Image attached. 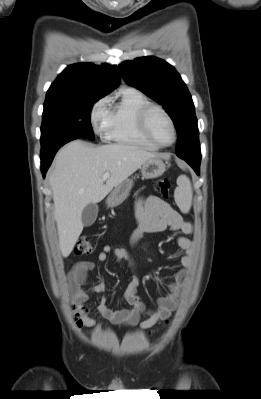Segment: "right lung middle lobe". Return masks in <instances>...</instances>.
<instances>
[{
  "label": "right lung middle lobe",
  "mask_w": 261,
  "mask_h": 399,
  "mask_svg": "<svg viewBox=\"0 0 261 399\" xmlns=\"http://www.w3.org/2000/svg\"><path fill=\"white\" fill-rule=\"evenodd\" d=\"M101 97H46L41 126V145L74 134L94 139L90 123L93 104Z\"/></svg>",
  "instance_id": "right-lung-middle-lobe-1"
}]
</instances>
